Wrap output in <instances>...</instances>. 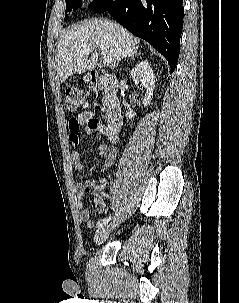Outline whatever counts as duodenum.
<instances>
[{"mask_svg":"<svg viewBox=\"0 0 239 303\" xmlns=\"http://www.w3.org/2000/svg\"><path fill=\"white\" fill-rule=\"evenodd\" d=\"M88 78L93 86L104 92L105 117L109 128L114 132L120 131L123 118L121 103L117 95L118 79L114 75L102 74L97 70H91Z\"/></svg>","mask_w":239,"mask_h":303,"instance_id":"duodenum-1","label":"duodenum"}]
</instances>
